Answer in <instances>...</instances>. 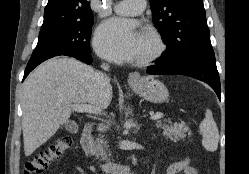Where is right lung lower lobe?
<instances>
[{
    "label": "right lung lower lobe",
    "mask_w": 249,
    "mask_h": 174,
    "mask_svg": "<svg viewBox=\"0 0 249 174\" xmlns=\"http://www.w3.org/2000/svg\"><path fill=\"white\" fill-rule=\"evenodd\" d=\"M91 54V53H90ZM90 54H86V53H71V52H65V53H55V54H49V55H45L41 58H39L38 60H35V61H29L28 62V65L25 69V72H24V77H23V80L27 77V75L37 66L39 65L40 63H42L43 61L49 59V58H52L54 56H58V55H66V56H71V57H74L78 60H81L87 64H91L92 63V57Z\"/></svg>",
    "instance_id": "obj_1"
}]
</instances>
